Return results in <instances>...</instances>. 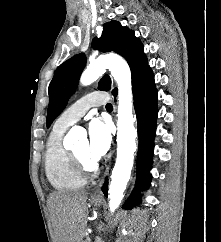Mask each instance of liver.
<instances>
[{"label":"liver","mask_w":221,"mask_h":242,"mask_svg":"<svg viewBox=\"0 0 221 242\" xmlns=\"http://www.w3.org/2000/svg\"><path fill=\"white\" fill-rule=\"evenodd\" d=\"M87 196L86 191L49 195L54 242H81L87 226Z\"/></svg>","instance_id":"obj_1"}]
</instances>
